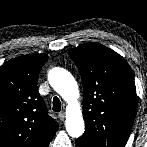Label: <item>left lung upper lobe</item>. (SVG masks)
<instances>
[{
	"mask_svg": "<svg viewBox=\"0 0 147 147\" xmlns=\"http://www.w3.org/2000/svg\"><path fill=\"white\" fill-rule=\"evenodd\" d=\"M83 83L86 131L77 139L87 147H124L135 119L137 95L128 63L99 43L68 52Z\"/></svg>",
	"mask_w": 147,
	"mask_h": 147,
	"instance_id": "obj_1",
	"label": "left lung upper lobe"
}]
</instances>
